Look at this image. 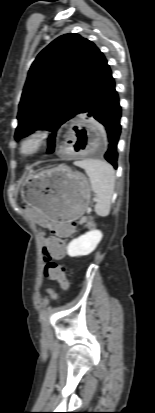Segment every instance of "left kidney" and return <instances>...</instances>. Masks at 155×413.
<instances>
[{
    "label": "left kidney",
    "instance_id": "1",
    "mask_svg": "<svg viewBox=\"0 0 155 413\" xmlns=\"http://www.w3.org/2000/svg\"><path fill=\"white\" fill-rule=\"evenodd\" d=\"M102 236V232L99 230L86 232L68 244L67 254L71 257L89 255L95 250Z\"/></svg>",
    "mask_w": 155,
    "mask_h": 413
}]
</instances>
